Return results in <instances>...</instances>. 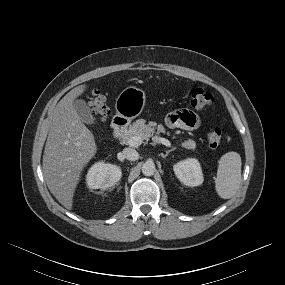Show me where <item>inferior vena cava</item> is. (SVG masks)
<instances>
[{"label":"inferior vena cava","mask_w":285,"mask_h":285,"mask_svg":"<svg viewBox=\"0 0 285 285\" xmlns=\"http://www.w3.org/2000/svg\"><path fill=\"white\" fill-rule=\"evenodd\" d=\"M122 153H123L124 158L130 161H135L139 158L138 152L132 148H125L123 149Z\"/></svg>","instance_id":"inferior-vena-cava-1"}]
</instances>
